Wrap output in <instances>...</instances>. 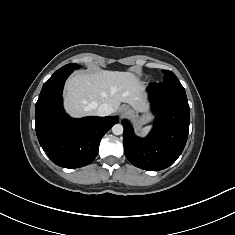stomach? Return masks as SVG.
I'll return each mask as SVG.
<instances>
[{
    "instance_id": "obj_1",
    "label": "stomach",
    "mask_w": 235,
    "mask_h": 235,
    "mask_svg": "<svg viewBox=\"0 0 235 235\" xmlns=\"http://www.w3.org/2000/svg\"><path fill=\"white\" fill-rule=\"evenodd\" d=\"M142 113L141 116H137V126L139 128L152 120V115L148 114L146 110H142Z\"/></svg>"
}]
</instances>
